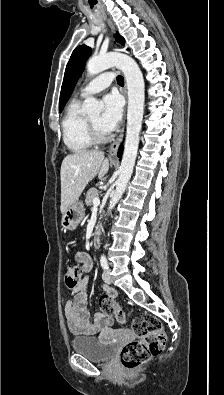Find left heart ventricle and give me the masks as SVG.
Listing matches in <instances>:
<instances>
[{
	"label": "left heart ventricle",
	"mask_w": 224,
	"mask_h": 395,
	"mask_svg": "<svg viewBox=\"0 0 224 395\" xmlns=\"http://www.w3.org/2000/svg\"><path fill=\"white\" fill-rule=\"evenodd\" d=\"M89 119L97 126V128L101 132L105 133V131L100 126V114H96V115L90 116Z\"/></svg>",
	"instance_id": "1"
}]
</instances>
